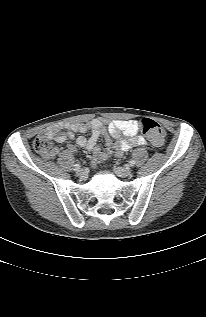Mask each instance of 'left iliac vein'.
I'll use <instances>...</instances> for the list:
<instances>
[{
    "instance_id": "1",
    "label": "left iliac vein",
    "mask_w": 206,
    "mask_h": 317,
    "mask_svg": "<svg viewBox=\"0 0 206 317\" xmlns=\"http://www.w3.org/2000/svg\"><path fill=\"white\" fill-rule=\"evenodd\" d=\"M115 173L121 178H126L131 176L132 171L129 168L116 167Z\"/></svg>"
}]
</instances>
